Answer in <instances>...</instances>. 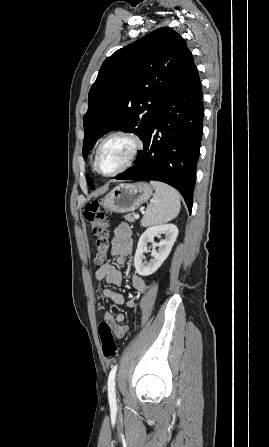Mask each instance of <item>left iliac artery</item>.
Instances as JSON below:
<instances>
[{
	"label": "left iliac artery",
	"instance_id": "left-iliac-artery-1",
	"mask_svg": "<svg viewBox=\"0 0 269 447\" xmlns=\"http://www.w3.org/2000/svg\"><path fill=\"white\" fill-rule=\"evenodd\" d=\"M117 365H115L108 377V398L111 407H116V393H115V374Z\"/></svg>",
	"mask_w": 269,
	"mask_h": 447
}]
</instances>
